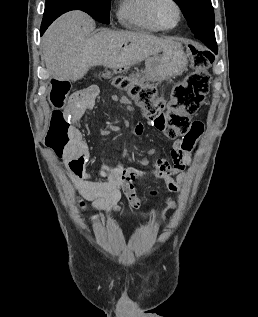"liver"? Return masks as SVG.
Segmentation results:
<instances>
[{
	"label": "liver",
	"mask_w": 258,
	"mask_h": 317,
	"mask_svg": "<svg viewBox=\"0 0 258 317\" xmlns=\"http://www.w3.org/2000/svg\"><path fill=\"white\" fill-rule=\"evenodd\" d=\"M95 20L82 12L70 10L59 16L42 36L46 66L58 80H79L89 66L105 64L109 68L132 66L157 54L179 46L173 36H154L150 32L101 30L91 34Z\"/></svg>",
	"instance_id": "obj_1"
}]
</instances>
